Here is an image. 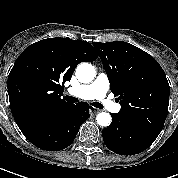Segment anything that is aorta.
Returning <instances> with one entry per match:
<instances>
[{
  "label": "aorta",
  "instance_id": "762f6f07",
  "mask_svg": "<svg viewBox=\"0 0 178 178\" xmlns=\"http://www.w3.org/2000/svg\"><path fill=\"white\" fill-rule=\"evenodd\" d=\"M96 71L89 63H81L76 68V77L81 83H90L94 80ZM100 126L107 127L111 124V115L107 112H100L96 117Z\"/></svg>",
  "mask_w": 178,
  "mask_h": 178
}]
</instances>
